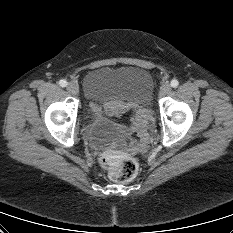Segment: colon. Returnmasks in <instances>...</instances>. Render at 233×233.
<instances>
[{
    "mask_svg": "<svg viewBox=\"0 0 233 233\" xmlns=\"http://www.w3.org/2000/svg\"><path fill=\"white\" fill-rule=\"evenodd\" d=\"M148 122L149 117L145 112H138L133 120V125L139 135L141 145H145L148 140ZM99 163L108 172L112 180L119 182L133 179L138 170L137 163L133 158L112 151L103 153L100 156Z\"/></svg>",
    "mask_w": 233,
    "mask_h": 233,
    "instance_id": "colon-1",
    "label": "colon"
}]
</instances>
